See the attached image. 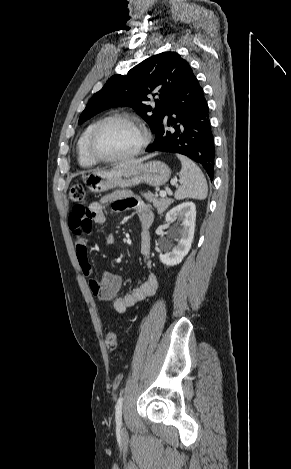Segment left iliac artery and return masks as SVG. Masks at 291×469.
I'll return each mask as SVG.
<instances>
[{"mask_svg":"<svg viewBox=\"0 0 291 469\" xmlns=\"http://www.w3.org/2000/svg\"><path fill=\"white\" fill-rule=\"evenodd\" d=\"M122 404H123V397L120 395L115 406V409H116L115 420H116L117 426H121L122 424Z\"/></svg>","mask_w":291,"mask_h":469,"instance_id":"left-iliac-artery-1","label":"left iliac artery"}]
</instances>
